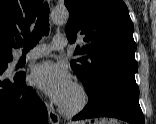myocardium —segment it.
Masks as SVG:
<instances>
[{
    "label": "myocardium",
    "mask_w": 156,
    "mask_h": 124,
    "mask_svg": "<svg viewBox=\"0 0 156 124\" xmlns=\"http://www.w3.org/2000/svg\"><path fill=\"white\" fill-rule=\"evenodd\" d=\"M73 86L76 88L80 95L79 103L74 107H65L62 104L59 105V111L63 115L68 117H74L85 111L88 108L91 101L90 93L85 85H83L80 82H74Z\"/></svg>",
    "instance_id": "myocardium-1"
}]
</instances>
